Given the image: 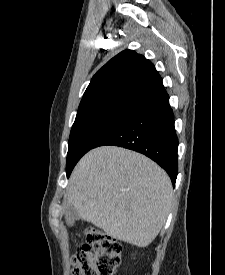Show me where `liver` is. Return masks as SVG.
<instances>
[{"mask_svg":"<svg viewBox=\"0 0 225 275\" xmlns=\"http://www.w3.org/2000/svg\"><path fill=\"white\" fill-rule=\"evenodd\" d=\"M172 196L171 181L155 162L128 149L102 146L75 166L66 198L82 221L146 247L165 224Z\"/></svg>","mask_w":225,"mask_h":275,"instance_id":"1","label":"liver"}]
</instances>
